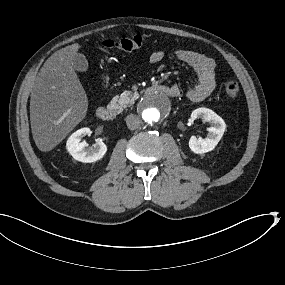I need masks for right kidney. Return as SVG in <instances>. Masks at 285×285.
<instances>
[{"label":"right kidney","instance_id":"obj_1","mask_svg":"<svg viewBox=\"0 0 285 285\" xmlns=\"http://www.w3.org/2000/svg\"><path fill=\"white\" fill-rule=\"evenodd\" d=\"M86 135H91L89 128H82L73 133L67 141V150L79 162H97L106 155L108 148L102 141H98L93 148H90L86 141L82 139Z\"/></svg>","mask_w":285,"mask_h":285}]
</instances>
